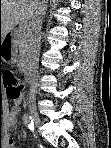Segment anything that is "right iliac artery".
<instances>
[{"label":"right iliac artery","instance_id":"1","mask_svg":"<svg viewBox=\"0 0 111 148\" xmlns=\"http://www.w3.org/2000/svg\"><path fill=\"white\" fill-rule=\"evenodd\" d=\"M23 122L24 124L30 129L33 130L34 129V123L32 120V117L29 114H24L23 115Z\"/></svg>","mask_w":111,"mask_h":148}]
</instances>
